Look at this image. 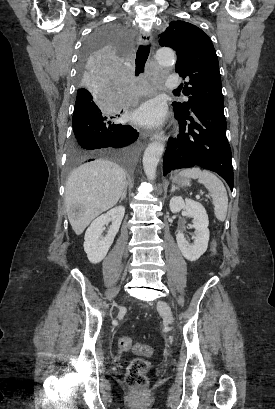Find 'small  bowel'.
I'll return each mask as SVG.
<instances>
[{"label":"small bowel","mask_w":275,"mask_h":409,"mask_svg":"<svg viewBox=\"0 0 275 409\" xmlns=\"http://www.w3.org/2000/svg\"><path fill=\"white\" fill-rule=\"evenodd\" d=\"M215 248H216V243L215 241H213L212 245H211V254L214 255L215 254Z\"/></svg>","instance_id":"1"}]
</instances>
